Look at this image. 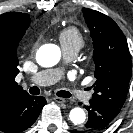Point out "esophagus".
Wrapping results in <instances>:
<instances>
[{
  "mask_svg": "<svg viewBox=\"0 0 133 133\" xmlns=\"http://www.w3.org/2000/svg\"><path fill=\"white\" fill-rule=\"evenodd\" d=\"M53 100L57 103H65L66 100L64 98H61V97H54Z\"/></svg>",
  "mask_w": 133,
  "mask_h": 133,
  "instance_id": "1",
  "label": "esophagus"
}]
</instances>
